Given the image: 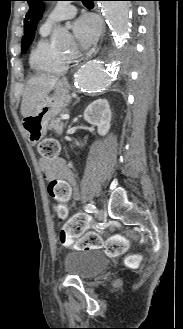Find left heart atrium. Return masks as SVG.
Instances as JSON below:
<instances>
[{
	"label": "left heart atrium",
	"mask_w": 183,
	"mask_h": 329,
	"mask_svg": "<svg viewBox=\"0 0 183 329\" xmlns=\"http://www.w3.org/2000/svg\"><path fill=\"white\" fill-rule=\"evenodd\" d=\"M74 36L80 48L86 49L96 42L101 26L98 19L90 14L78 18L72 26Z\"/></svg>",
	"instance_id": "obj_1"
}]
</instances>
